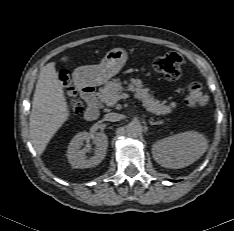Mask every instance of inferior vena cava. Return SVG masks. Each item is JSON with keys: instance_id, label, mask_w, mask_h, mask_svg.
Listing matches in <instances>:
<instances>
[{"instance_id": "inferior-vena-cava-1", "label": "inferior vena cava", "mask_w": 234, "mask_h": 231, "mask_svg": "<svg viewBox=\"0 0 234 231\" xmlns=\"http://www.w3.org/2000/svg\"><path fill=\"white\" fill-rule=\"evenodd\" d=\"M104 119L106 121L116 122V121H119L121 119V115L118 113H114V112L107 113V114H105Z\"/></svg>"}]
</instances>
